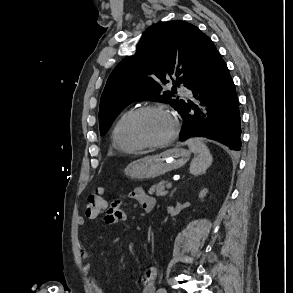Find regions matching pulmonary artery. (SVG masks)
Masks as SVG:
<instances>
[{
  "instance_id": "obj_1",
  "label": "pulmonary artery",
  "mask_w": 293,
  "mask_h": 293,
  "mask_svg": "<svg viewBox=\"0 0 293 293\" xmlns=\"http://www.w3.org/2000/svg\"><path fill=\"white\" fill-rule=\"evenodd\" d=\"M180 91L183 96H189L191 94L190 91L186 88H181Z\"/></svg>"
}]
</instances>
